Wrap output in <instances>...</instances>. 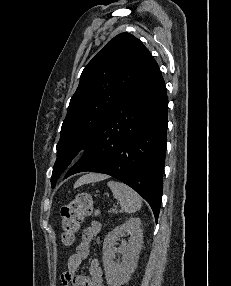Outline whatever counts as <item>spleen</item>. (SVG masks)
<instances>
[{"label":"spleen","instance_id":"obj_1","mask_svg":"<svg viewBox=\"0 0 231 286\" xmlns=\"http://www.w3.org/2000/svg\"><path fill=\"white\" fill-rule=\"evenodd\" d=\"M113 197L120 202L121 210L126 213H134L142 206L140 195L131 187L118 181H108Z\"/></svg>","mask_w":231,"mask_h":286}]
</instances>
